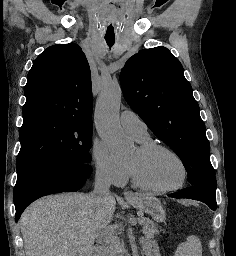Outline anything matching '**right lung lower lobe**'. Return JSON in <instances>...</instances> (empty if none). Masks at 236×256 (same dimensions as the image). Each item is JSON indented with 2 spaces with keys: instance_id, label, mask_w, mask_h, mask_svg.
<instances>
[{
  "instance_id": "1",
  "label": "right lung lower lobe",
  "mask_w": 236,
  "mask_h": 256,
  "mask_svg": "<svg viewBox=\"0 0 236 256\" xmlns=\"http://www.w3.org/2000/svg\"><path fill=\"white\" fill-rule=\"evenodd\" d=\"M91 172L90 164L65 162L38 166L17 177L14 187L15 221L30 203L42 196L77 191Z\"/></svg>"
}]
</instances>
